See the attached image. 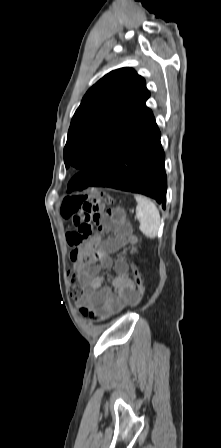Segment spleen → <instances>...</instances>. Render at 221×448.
Here are the masks:
<instances>
[{"instance_id": "spleen-1", "label": "spleen", "mask_w": 221, "mask_h": 448, "mask_svg": "<svg viewBox=\"0 0 221 448\" xmlns=\"http://www.w3.org/2000/svg\"><path fill=\"white\" fill-rule=\"evenodd\" d=\"M137 201L136 217L140 231L148 238H155L160 227V213L156 205L146 197L135 195Z\"/></svg>"}]
</instances>
